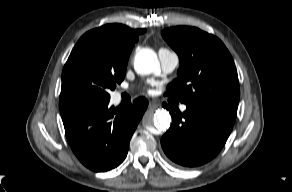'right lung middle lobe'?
Returning a JSON list of instances; mask_svg holds the SVG:
<instances>
[{
	"instance_id": "obj_1",
	"label": "right lung middle lobe",
	"mask_w": 292,
	"mask_h": 192,
	"mask_svg": "<svg viewBox=\"0 0 292 192\" xmlns=\"http://www.w3.org/2000/svg\"><path fill=\"white\" fill-rule=\"evenodd\" d=\"M126 66L113 62L96 43L79 40L62 72L60 99L109 101L108 91L123 81Z\"/></svg>"
}]
</instances>
